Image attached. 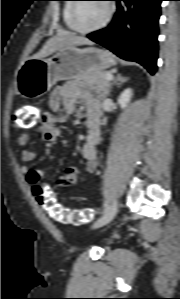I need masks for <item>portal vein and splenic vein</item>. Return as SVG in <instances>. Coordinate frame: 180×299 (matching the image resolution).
I'll list each match as a JSON object with an SVG mask.
<instances>
[{"label":"portal vein and splenic vein","instance_id":"18ae733b","mask_svg":"<svg viewBox=\"0 0 180 299\" xmlns=\"http://www.w3.org/2000/svg\"><path fill=\"white\" fill-rule=\"evenodd\" d=\"M106 80L111 81L113 79V76L111 74L106 75Z\"/></svg>","mask_w":180,"mask_h":299}]
</instances>
